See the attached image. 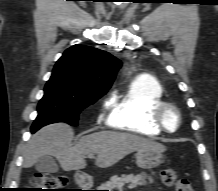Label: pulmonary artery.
Listing matches in <instances>:
<instances>
[{
    "instance_id": "e3ab8cb5",
    "label": "pulmonary artery",
    "mask_w": 218,
    "mask_h": 191,
    "mask_svg": "<svg viewBox=\"0 0 218 191\" xmlns=\"http://www.w3.org/2000/svg\"><path fill=\"white\" fill-rule=\"evenodd\" d=\"M142 77H144V78H148L149 77V74H142Z\"/></svg>"
}]
</instances>
